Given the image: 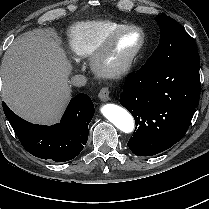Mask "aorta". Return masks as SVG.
<instances>
[{
  "instance_id": "1",
  "label": "aorta",
  "mask_w": 209,
  "mask_h": 209,
  "mask_svg": "<svg viewBox=\"0 0 209 209\" xmlns=\"http://www.w3.org/2000/svg\"><path fill=\"white\" fill-rule=\"evenodd\" d=\"M101 113L124 133H131L134 130V119L124 108L109 103L101 107Z\"/></svg>"
}]
</instances>
